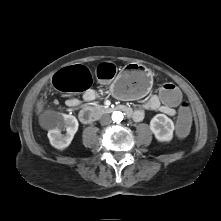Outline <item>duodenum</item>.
I'll list each match as a JSON object with an SVG mask.
<instances>
[{"instance_id": "obj_1", "label": "duodenum", "mask_w": 221, "mask_h": 221, "mask_svg": "<svg viewBox=\"0 0 221 221\" xmlns=\"http://www.w3.org/2000/svg\"><path fill=\"white\" fill-rule=\"evenodd\" d=\"M114 111H122L128 116H131L133 114L132 109L125 105H117L103 108L85 107L80 111L79 119L82 123L89 124L98 120L103 114L111 113Z\"/></svg>"}]
</instances>
